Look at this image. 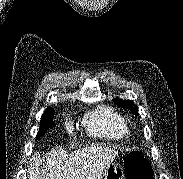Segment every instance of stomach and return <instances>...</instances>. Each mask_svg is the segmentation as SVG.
Returning <instances> with one entry per match:
<instances>
[{"mask_svg":"<svg viewBox=\"0 0 183 179\" xmlns=\"http://www.w3.org/2000/svg\"><path fill=\"white\" fill-rule=\"evenodd\" d=\"M101 179H125L123 167L117 163H111Z\"/></svg>","mask_w":183,"mask_h":179,"instance_id":"stomach-1","label":"stomach"}]
</instances>
